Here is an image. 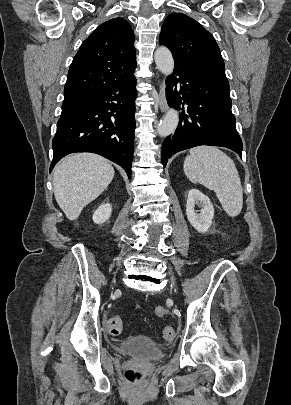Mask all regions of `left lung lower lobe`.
<instances>
[{
  "label": "left lung lower lobe",
  "instance_id": "1",
  "mask_svg": "<svg viewBox=\"0 0 291 405\" xmlns=\"http://www.w3.org/2000/svg\"><path fill=\"white\" fill-rule=\"evenodd\" d=\"M229 89L225 73L175 64L166 79V97L170 107L182 106L183 112L176 131L163 142L164 167L175 153L200 145L227 147L242 158Z\"/></svg>",
  "mask_w": 291,
  "mask_h": 405
}]
</instances>
